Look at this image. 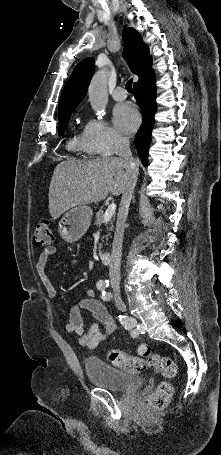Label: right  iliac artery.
<instances>
[{"instance_id": "1", "label": "right iliac artery", "mask_w": 221, "mask_h": 455, "mask_svg": "<svg viewBox=\"0 0 221 455\" xmlns=\"http://www.w3.org/2000/svg\"><path fill=\"white\" fill-rule=\"evenodd\" d=\"M109 285L104 283V282H98L97 283V288L99 290H101L103 293H105V290L107 289ZM120 318V321H121V324H123V328L127 331V332H130L131 333V336L132 337H139V332L138 330L136 329L135 325H133L128 319H126L124 316H121L119 315L118 316Z\"/></svg>"}]
</instances>
